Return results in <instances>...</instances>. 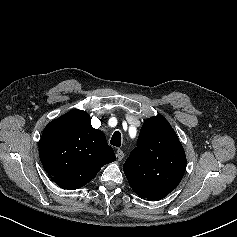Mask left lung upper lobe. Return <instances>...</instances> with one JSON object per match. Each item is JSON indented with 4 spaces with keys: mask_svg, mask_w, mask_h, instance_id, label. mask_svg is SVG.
Returning <instances> with one entry per match:
<instances>
[{
    "mask_svg": "<svg viewBox=\"0 0 237 237\" xmlns=\"http://www.w3.org/2000/svg\"><path fill=\"white\" fill-rule=\"evenodd\" d=\"M185 169L184 149L169 122L161 115L147 119L123 165L131 188L142 198L160 200L178 186Z\"/></svg>",
    "mask_w": 237,
    "mask_h": 237,
    "instance_id": "left-lung-upper-lobe-1",
    "label": "left lung upper lobe"
}]
</instances>
